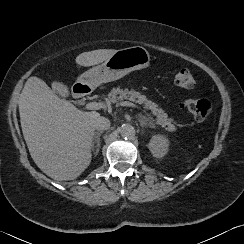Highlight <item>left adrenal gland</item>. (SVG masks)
I'll list each match as a JSON object with an SVG mask.
<instances>
[{
  "instance_id": "obj_1",
  "label": "left adrenal gland",
  "mask_w": 244,
  "mask_h": 244,
  "mask_svg": "<svg viewBox=\"0 0 244 244\" xmlns=\"http://www.w3.org/2000/svg\"><path fill=\"white\" fill-rule=\"evenodd\" d=\"M138 120H139L140 126L142 128L147 127V126H149L151 128H154L155 127L154 124H153V122H151L146 116H144L142 114H139L138 115Z\"/></svg>"
}]
</instances>
